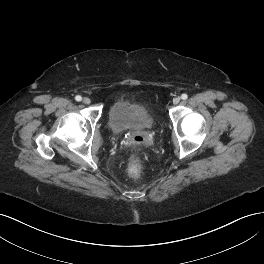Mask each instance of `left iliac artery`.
<instances>
[{"label":"left iliac artery","mask_w":264,"mask_h":264,"mask_svg":"<svg viewBox=\"0 0 264 264\" xmlns=\"http://www.w3.org/2000/svg\"><path fill=\"white\" fill-rule=\"evenodd\" d=\"M181 98H182L183 100H186V99L188 98V95L184 93V94L181 95Z\"/></svg>","instance_id":"1"}]
</instances>
